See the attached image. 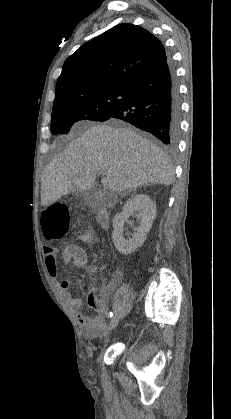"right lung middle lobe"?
<instances>
[{
    "label": "right lung middle lobe",
    "mask_w": 231,
    "mask_h": 419,
    "mask_svg": "<svg viewBox=\"0 0 231 419\" xmlns=\"http://www.w3.org/2000/svg\"><path fill=\"white\" fill-rule=\"evenodd\" d=\"M127 89L104 88L53 103L51 132L65 134L79 120L104 121L125 100Z\"/></svg>",
    "instance_id": "1"
}]
</instances>
